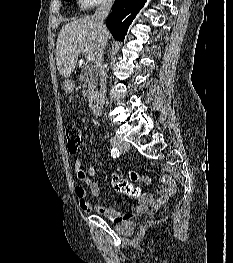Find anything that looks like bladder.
<instances>
[{"instance_id":"31cf9c89","label":"bladder","mask_w":233,"mask_h":263,"mask_svg":"<svg viewBox=\"0 0 233 263\" xmlns=\"http://www.w3.org/2000/svg\"><path fill=\"white\" fill-rule=\"evenodd\" d=\"M135 227V221L132 219L115 224V230L124 235L131 234Z\"/></svg>"}]
</instances>
